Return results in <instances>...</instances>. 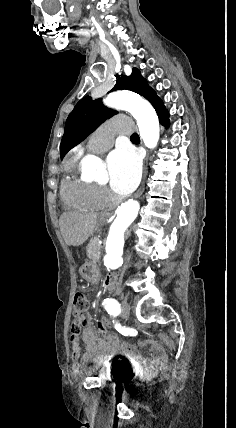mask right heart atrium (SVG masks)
<instances>
[{
  "instance_id": "right-heart-atrium-1",
  "label": "right heart atrium",
  "mask_w": 236,
  "mask_h": 428,
  "mask_svg": "<svg viewBox=\"0 0 236 428\" xmlns=\"http://www.w3.org/2000/svg\"><path fill=\"white\" fill-rule=\"evenodd\" d=\"M100 192H101V195L103 196V198L107 197L109 195L108 192L104 188H100Z\"/></svg>"
}]
</instances>
